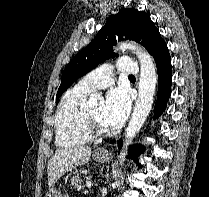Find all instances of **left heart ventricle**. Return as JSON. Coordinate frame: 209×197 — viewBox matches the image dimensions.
Here are the masks:
<instances>
[{
    "label": "left heart ventricle",
    "mask_w": 209,
    "mask_h": 197,
    "mask_svg": "<svg viewBox=\"0 0 209 197\" xmlns=\"http://www.w3.org/2000/svg\"><path fill=\"white\" fill-rule=\"evenodd\" d=\"M102 106L103 103L102 102H98L96 104L90 105L88 106V110L90 112V114L93 116V118L96 120V122L103 126V127H107L101 119V110H102Z\"/></svg>",
    "instance_id": "left-heart-ventricle-1"
}]
</instances>
